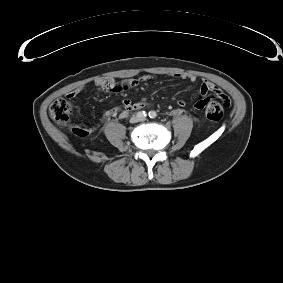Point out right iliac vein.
Masks as SVG:
<instances>
[{
    "mask_svg": "<svg viewBox=\"0 0 283 283\" xmlns=\"http://www.w3.org/2000/svg\"><path fill=\"white\" fill-rule=\"evenodd\" d=\"M131 122H132V123L137 122V118H135V117H134V118H132V119H131Z\"/></svg>",
    "mask_w": 283,
    "mask_h": 283,
    "instance_id": "obj_1",
    "label": "right iliac vein"
}]
</instances>
